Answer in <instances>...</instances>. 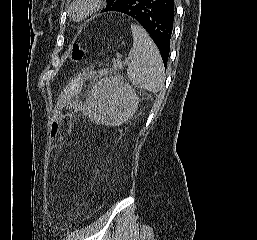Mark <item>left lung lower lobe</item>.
I'll return each instance as SVG.
<instances>
[{"label":"left lung lower lobe","instance_id":"obj_1","mask_svg":"<svg viewBox=\"0 0 257 240\" xmlns=\"http://www.w3.org/2000/svg\"><path fill=\"white\" fill-rule=\"evenodd\" d=\"M126 14L135 19L157 45L166 69L174 21V0H124L108 10Z\"/></svg>","mask_w":257,"mask_h":240}]
</instances>
